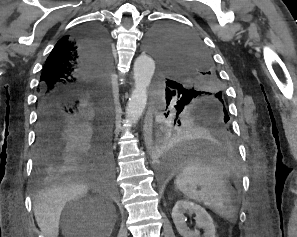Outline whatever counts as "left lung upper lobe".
Returning <instances> with one entry per match:
<instances>
[{
	"label": "left lung upper lobe",
	"instance_id": "1",
	"mask_svg": "<svg viewBox=\"0 0 297 237\" xmlns=\"http://www.w3.org/2000/svg\"><path fill=\"white\" fill-rule=\"evenodd\" d=\"M148 43L168 77L166 88L176 90L188 107L204 105L229 118L220 77L199 37L174 25H161L151 30Z\"/></svg>",
	"mask_w": 297,
	"mask_h": 237
}]
</instances>
